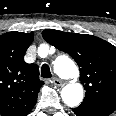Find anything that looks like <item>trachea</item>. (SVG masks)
<instances>
[{"label":"trachea","instance_id":"trachea-1","mask_svg":"<svg viewBox=\"0 0 116 116\" xmlns=\"http://www.w3.org/2000/svg\"><path fill=\"white\" fill-rule=\"evenodd\" d=\"M41 76L43 78H51L52 77L50 68H49V66L47 64L42 65V67H41Z\"/></svg>","mask_w":116,"mask_h":116}]
</instances>
